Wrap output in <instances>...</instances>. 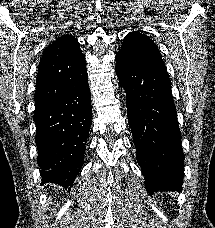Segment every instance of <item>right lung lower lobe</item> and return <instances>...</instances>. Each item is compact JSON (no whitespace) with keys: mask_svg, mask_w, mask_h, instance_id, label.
Returning a JSON list of instances; mask_svg holds the SVG:
<instances>
[{"mask_svg":"<svg viewBox=\"0 0 215 228\" xmlns=\"http://www.w3.org/2000/svg\"><path fill=\"white\" fill-rule=\"evenodd\" d=\"M67 87L64 94L35 109L33 118L42 184L71 189L84 163L92 108L87 74Z\"/></svg>","mask_w":215,"mask_h":228,"instance_id":"98d812e1","label":"right lung lower lobe"}]
</instances>
